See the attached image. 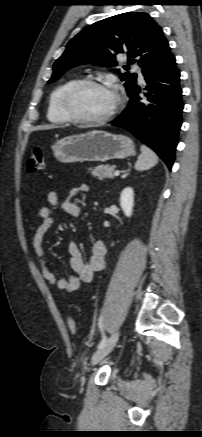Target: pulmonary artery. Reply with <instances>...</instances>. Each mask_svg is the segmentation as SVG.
I'll return each mask as SVG.
<instances>
[{
  "label": "pulmonary artery",
  "mask_w": 202,
  "mask_h": 437,
  "mask_svg": "<svg viewBox=\"0 0 202 437\" xmlns=\"http://www.w3.org/2000/svg\"><path fill=\"white\" fill-rule=\"evenodd\" d=\"M133 69H134V71L137 72L139 79H140L141 81H143V75H142V73H141L139 67H138L137 65H134V66H133Z\"/></svg>",
  "instance_id": "1"
}]
</instances>
